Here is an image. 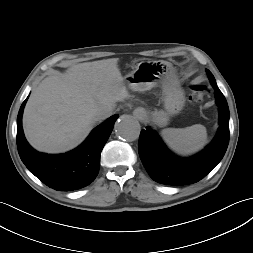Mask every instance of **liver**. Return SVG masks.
I'll use <instances>...</instances> for the list:
<instances>
[{
  "label": "liver",
  "mask_w": 253,
  "mask_h": 253,
  "mask_svg": "<svg viewBox=\"0 0 253 253\" xmlns=\"http://www.w3.org/2000/svg\"><path fill=\"white\" fill-rule=\"evenodd\" d=\"M118 58L72 66L45 78L25 106L23 128L38 151L62 153L78 146L93 129L94 113L130 97Z\"/></svg>",
  "instance_id": "6515ba94"
}]
</instances>
